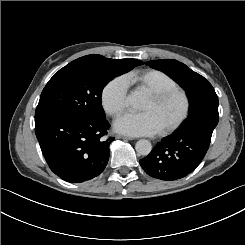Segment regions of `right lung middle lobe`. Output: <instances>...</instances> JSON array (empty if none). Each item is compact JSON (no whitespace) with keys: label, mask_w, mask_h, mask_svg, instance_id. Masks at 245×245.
Here are the masks:
<instances>
[{"label":"right lung middle lobe","mask_w":245,"mask_h":245,"mask_svg":"<svg viewBox=\"0 0 245 245\" xmlns=\"http://www.w3.org/2000/svg\"><path fill=\"white\" fill-rule=\"evenodd\" d=\"M143 64L136 59L114 60L98 54L78 58L60 69L43 89L35 118L50 114L81 116L88 120L105 118L101 107L104 86Z\"/></svg>","instance_id":"1"}]
</instances>
